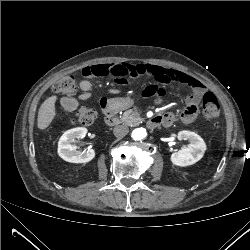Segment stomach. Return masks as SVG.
I'll return each instance as SVG.
<instances>
[{
    "mask_svg": "<svg viewBox=\"0 0 250 250\" xmlns=\"http://www.w3.org/2000/svg\"><path fill=\"white\" fill-rule=\"evenodd\" d=\"M118 106H130L133 104V100L129 98L117 99L115 102Z\"/></svg>",
    "mask_w": 250,
    "mask_h": 250,
    "instance_id": "stomach-1",
    "label": "stomach"
}]
</instances>
